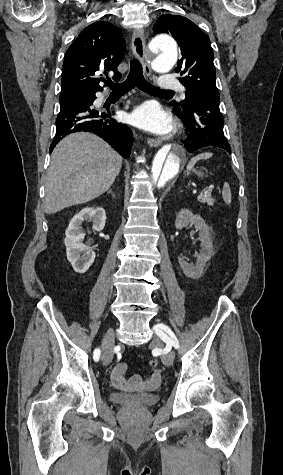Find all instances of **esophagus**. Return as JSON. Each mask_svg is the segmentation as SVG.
I'll list each match as a JSON object with an SVG mask.
<instances>
[{
  "label": "esophagus",
  "mask_w": 283,
  "mask_h": 475,
  "mask_svg": "<svg viewBox=\"0 0 283 475\" xmlns=\"http://www.w3.org/2000/svg\"><path fill=\"white\" fill-rule=\"evenodd\" d=\"M131 48L135 57L140 61L144 73L147 76H151V68L150 63L147 59L146 54V40L144 35V30L141 28L134 29L132 40H131ZM147 143L150 147H158L162 144V140L149 138Z\"/></svg>",
  "instance_id": "obj_1"
}]
</instances>
